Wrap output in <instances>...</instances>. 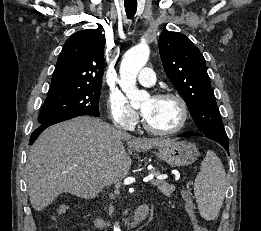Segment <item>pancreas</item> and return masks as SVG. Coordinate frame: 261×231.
Wrapping results in <instances>:
<instances>
[{
    "label": "pancreas",
    "instance_id": "1",
    "mask_svg": "<svg viewBox=\"0 0 261 231\" xmlns=\"http://www.w3.org/2000/svg\"><path fill=\"white\" fill-rule=\"evenodd\" d=\"M150 174L159 176L160 172L157 170H152ZM154 182V185L158 187L159 191L167 197H170L172 193L175 191V186L166 183L164 180H154Z\"/></svg>",
    "mask_w": 261,
    "mask_h": 231
}]
</instances>
